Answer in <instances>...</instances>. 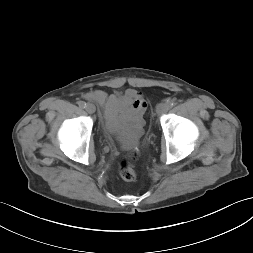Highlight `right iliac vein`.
I'll list each match as a JSON object with an SVG mask.
<instances>
[{
  "label": "right iliac vein",
  "mask_w": 253,
  "mask_h": 253,
  "mask_svg": "<svg viewBox=\"0 0 253 253\" xmlns=\"http://www.w3.org/2000/svg\"><path fill=\"white\" fill-rule=\"evenodd\" d=\"M96 110L95 106L91 103L87 104L86 111L90 114L94 113Z\"/></svg>",
  "instance_id": "obj_1"
}]
</instances>
